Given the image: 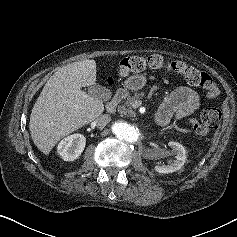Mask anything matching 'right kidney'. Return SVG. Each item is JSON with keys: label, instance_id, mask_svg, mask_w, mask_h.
I'll list each match as a JSON object with an SVG mask.
<instances>
[{"label": "right kidney", "instance_id": "1", "mask_svg": "<svg viewBox=\"0 0 237 237\" xmlns=\"http://www.w3.org/2000/svg\"><path fill=\"white\" fill-rule=\"evenodd\" d=\"M86 138L82 134L67 136L57 146V153L64 161H74L83 152Z\"/></svg>", "mask_w": 237, "mask_h": 237}]
</instances>
